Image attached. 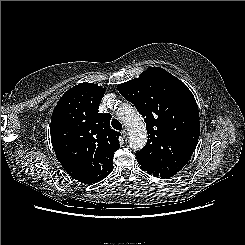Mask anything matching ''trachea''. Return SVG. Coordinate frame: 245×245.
Instances as JSON below:
<instances>
[{"label":"trachea","mask_w":245,"mask_h":245,"mask_svg":"<svg viewBox=\"0 0 245 245\" xmlns=\"http://www.w3.org/2000/svg\"><path fill=\"white\" fill-rule=\"evenodd\" d=\"M111 125L116 130H119L120 131L122 129V125L119 122V120H117V119H113L112 122H111Z\"/></svg>","instance_id":"1"}]
</instances>
